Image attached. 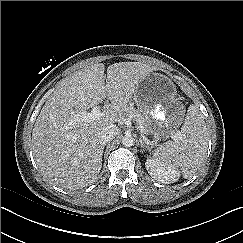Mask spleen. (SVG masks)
I'll return each mask as SVG.
<instances>
[{
    "label": "spleen",
    "instance_id": "3e777b00",
    "mask_svg": "<svg viewBox=\"0 0 243 243\" xmlns=\"http://www.w3.org/2000/svg\"><path fill=\"white\" fill-rule=\"evenodd\" d=\"M208 148V133L197 105H190L181 131L159 147L153 160L180 168L184 178H191L200 168Z\"/></svg>",
    "mask_w": 243,
    "mask_h": 243
}]
</instances>
